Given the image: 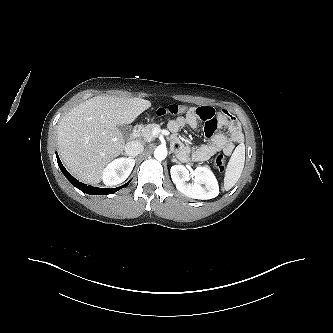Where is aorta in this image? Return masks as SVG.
<instances>
[{
    "instance_id": "762f6f07",
    "label": "aorta",
    "mask_w": 333,
    "mask_h": 333,
    "mask_svg": "<svg viewBox=\"0 0 333 333\" xmlns=\"http://www.w3.org/2000/svg\"><path fill=\"white\" fill-rule=\"evenodd\" d=\"M154 157L157 160H164L167 157V149L164 146H158L154 151Z\"/></svg>"
}]
</instances>
